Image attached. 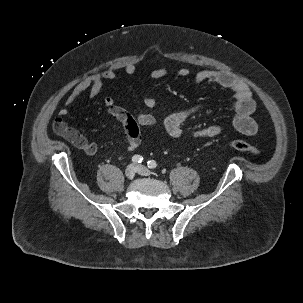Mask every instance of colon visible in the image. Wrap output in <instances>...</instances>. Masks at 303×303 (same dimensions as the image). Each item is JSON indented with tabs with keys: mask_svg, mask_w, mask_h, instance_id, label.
I'll list each match as a JSON object with an SVG mask.
<instances>
[{
	"mask_svg": "<svg viewBox=\"0 0 303 303\" xmlns=\"http://www.w3.org/2000/svg\"><path fill=\"white\" fill-rule=\"evenodd\" d=\"M227 144L239 151L248 152L253 155L260 154V149L257 146L250 144L244 140H240V139L229 140Z\"/></svg>",
	"mask_w": 303,
	"mask_h": 303,
	"instance_id": "colon-1",
	"label": "colon"
}]
</instances>
